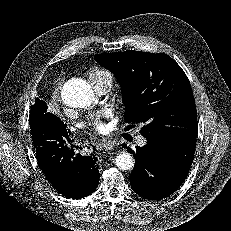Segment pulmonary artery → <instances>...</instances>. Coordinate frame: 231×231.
<instances>
[{"instance_id":"obj_1","label":"pulmonary artery","mask_w":231,"mask_h":231,"mask_svg":"<svg viewBox=\"0 0 231 231\" xmlns=\"http://www.w3.org/2000/svg\"><path fill=\"white\" fill-rule=\"evenodd\" d=\"M111 84H112L111 81L104 80V81L93 83V86L98 94L103 95L110 90ZM137 142L139 145H143L145 143V139L143 137H138Z\"/></svg>"}]
</instances>
